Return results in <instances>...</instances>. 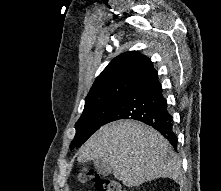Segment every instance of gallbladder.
Listing matches in <instances>:
<instances>
[{"label": "gallbladder", "instance_id": "obj_1", "mask_svg": "<svg viewBox=\"0 0 221 191\" xmlns=\"http://www.w3.org/2000/svg\"><path fill=\"white\" fill-rule=\"evenodd\" d=\"M94 166L96 170L102 175H109L112 173V168L110 164L101 159L95 160Z\"/></svg>", "mask_w": 221, "mask_h": 191}]
</instances>
